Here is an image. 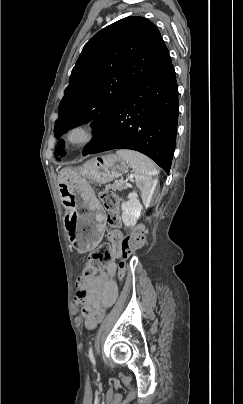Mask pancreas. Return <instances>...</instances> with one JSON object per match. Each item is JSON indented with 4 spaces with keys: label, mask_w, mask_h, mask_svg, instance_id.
<instances>
[{
    "label": "pancreas",
    "mask_w": 243,
    "mask_h": 404,
    "mask_svg": "<svg viewBox=\"0 0 243 404\" xmlns=\"http://www.w3.org/2000/svg\"><path fill=\"white\" fill-rule=\"evenodd\" d=\"M106 190H114V192L119 190L121 192V190H127V186H123V184H109V186H106Z\"/></svg>",
    "instance_id": "cf45deb5"
}]
</instances>
